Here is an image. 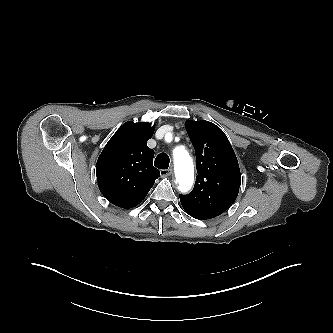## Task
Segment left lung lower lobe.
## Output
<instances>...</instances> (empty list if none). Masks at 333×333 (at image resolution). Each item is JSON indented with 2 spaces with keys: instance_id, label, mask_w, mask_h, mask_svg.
<instances>
[{
  "instance_id": "1",
  "label": "left lung lower lobe",
  "mask_w": 333,
  "mask_h": 333,
  "mask_svg": "<svg viewBox=\"0 0 333 333\" xmlns=\"http://www.w3.org/2000/svg\"><path fill=\"white\" fill-rule=\"evenodd\" d=\"M184 210L187 212V214H189L190 216H192L193 218L196 219H200V220H206V219H210V218H214L215 216L203 212V211H199L196 209H192V208H188V207H183Z\"/></svg>"
}]
</instances>
